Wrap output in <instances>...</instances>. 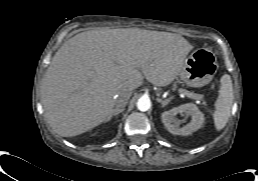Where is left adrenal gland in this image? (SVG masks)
Listing matches in <instances>:
<instances>
[{
  "instance_id": "obj_1",
  "label": "left adrenal gland",
  "mask_w": 258,
  "mask_h": 181,
  "mask_svg": "<svg viewBox=\"0 0 258 181\" xmlns=\"http://www.w3.org/2000/svg\"><path fill=\"white\" fill-rule=\"evenodd\" d=\"M172 97L168 98V99H161V98H157V102L161 103L162 104V107H165L170 101H171Z\"/></svg>"
}]
</instances>
